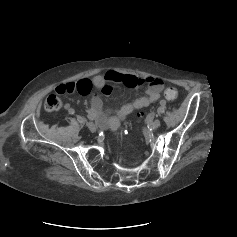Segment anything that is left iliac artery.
Instances as JSON below:
<instances>
[{"label":"left iliac artery","mask_w":237,"mask_h":237,"mask_svg":"<svg viewBox=\"0 0 237 237\" xmlns=\"http://www.w3.org/2000/svg\"><path fill=\"white\" fill-rule=\"evenodd\" d=\"M165 104H166V101H165V100H161V101H160V105H161V106H164Z\"/></svg>","instance_id":"left-iliac-artery-1"}]
</instances>
